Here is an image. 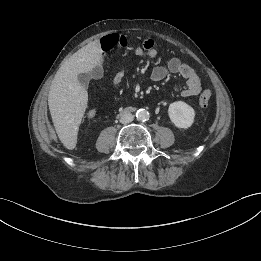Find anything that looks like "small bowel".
Returning a JSON list of instances; mask_svg holds the SVG:
<instances>
[{"label":"small bowel","mask_w":261,"mask_h":261,"mask_svg":"<svg viewBox=\"0 0 261 261\" xmlns=\"http://www.w3.org/2000/svg\"><path fill=\"white\" fill-rule=\"evenodd\" d=\"M100 47L103 57L114 48L131 50L135 55L140 57H155L157 47L154 40L144 39L141 44H131L125 35L109 34L104 36L100 41ZM103 74V61L99 62L93 71L94 78H100ZM169 74H177L185 80V87L182 90V96H197L201 91V81L192 67L182 62L179 58H171L165 65L156 66L151 72L153 81H161ZM125 76V69H120L113 77L112 83L118 86ZM89 118H94L96 113L90 110L87 113Z\"/></svg>","instance_id":"obj_1"}]
</instances>
